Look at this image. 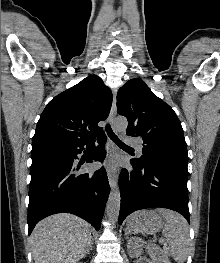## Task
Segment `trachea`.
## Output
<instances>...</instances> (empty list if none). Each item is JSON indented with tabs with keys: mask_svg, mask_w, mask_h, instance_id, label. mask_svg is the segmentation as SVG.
<instances>
[{
	"mask_svg": "<svg viewBox=\"0 0 220 263\" xmlns=\"http://www.w3.org/2000/svg\"><path fill=\"white\" fill-rule=\"evenodd\" d=\"M106 131L109 135V137L118 145V146H123V147H128L125 143H123L115 134L114 132L112 131L110 125H107L106 126Z\"/></svg>",
	"mask_w": 220,
	"mask_h": 263,
	"instance_id": "obj_1",
	"label": "trachea"
}]
</instances>
